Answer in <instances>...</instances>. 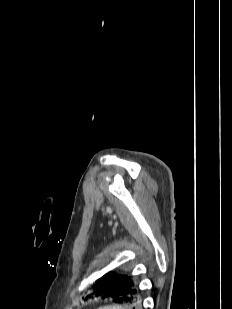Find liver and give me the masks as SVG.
I'll list each match as a JSON object with an SVG mask.
<instances>
[{"instance_id":"obj_1","label":"liver","mask_w":232,"mask_h":309,"mask_svg":"<svg viewBox=\"0 0 232 309\" xmlns=\"http://www.w3.org/2000/svg\"><path fill=\"white\" fill-rule=\"evenodd\" d=\"M98 309H126V308H123L122 306H119V305H112V306L100 307Z\"/></svg>"}]
</instances>
